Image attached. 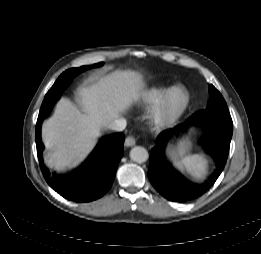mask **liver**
<instances>
[{
    "instance_id": "obj_1",
    "label": "liver",
    "mask_w": 261,
    "mask_h": 254,
    "mask_svg": "<svg viewBox=\"0 0 261 254\" xmlns=\"http://www.w3.org/2000/svg\"><path fill=\"white\" fill-rule=\"evenodd\" d=\"M144 88L140 73L115 71L78 88L80 108L68 99H60L54 115L42 128L43 141L50 150L44 156L46 164L57 169L76 166L94 147L106 125L140 100Z\"/></svg>"
}]
</instances>
